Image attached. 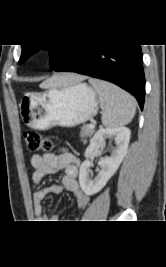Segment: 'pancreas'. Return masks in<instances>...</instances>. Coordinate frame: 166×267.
<instances>
[{
	"label": "pancreas",
	"instance_id": "pancreas-1",
	"mask_svg": "<svg viewBox=\"0 0 166 267\" xmlns=\"http://www.w3.org/2000/svg\"><path fill=\"white\" fill-rule=\"evenodd\" d=\"M94 134V129L89 128L87 125L81 128L80 137L84 143L87 142V139Z\"/></svg>",
	"mask_w": 166,
	"mask_h": 267
}]
</instances>
